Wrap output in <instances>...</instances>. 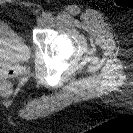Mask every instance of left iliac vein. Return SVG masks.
I'll list each match as a JSON object with an SVG mask.
<instances>
[{
	"label": "left iliac vein",
	"mask_w": 133,
	"mask_h": 133,
	"mask_svg": "<svg viewBox=\"0 0 133 133\" xmlns=\"http://www.w3.org/2000/svg\"><path fill=\"white\" fill-rule=\"evenodd\" d=\"M45 22H46V19H45L44 16L39 17V18L37 19V24H38L39 26H42Z\"/></svg>",
	"instance_id": "4c4485c4"
}]
</instances>
